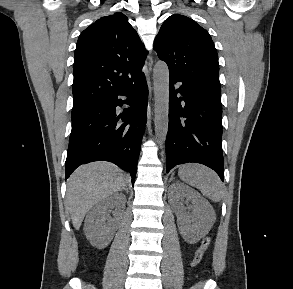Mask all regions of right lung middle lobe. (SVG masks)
Wrapping results in <instances>:
<instances>
[{
	"label": "right lung middle lobe",
	"instance_id": "obj_1",
	"mask_svg": "<svg viewBox=\"0 0 293 289\" xmlns=\"http://www.w3.org/2000/svg\"><path fill=\"white\" fill-rule=\"evenodd\" d=\"M91 104H93V103H85V104L73 105L72 113H76L78 111H81V110L87 108L88 106H90Z\"/></svg>",
	"mask_w": 293,
	"mask_h": 289
}]
</instances>
